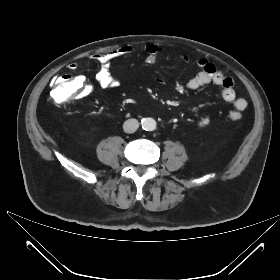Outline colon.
Wrapping results in <instances>:
<instances>
[{
	"label": "colon",
	"mask_w": 280,
	"mask_h": 280,
	"mask_svg": "<svg viewBox=\"0 0 280 280\" xmlns=\"http://www.w3.org/2000/svg\"><path fill=\"white\" fill-rule=\"evenodd\" d=\"M83 79L72 75H60L53 84L50 92V100L55 105H63L75 99L81 90ZM241 118L240 114H234L233 119Z\"/></svg>",
	"instance_id": "5ec220e1"
}]
</instances>
